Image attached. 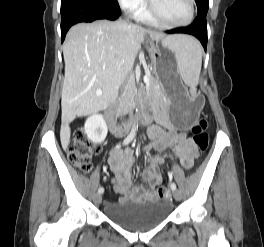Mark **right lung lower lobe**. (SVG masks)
Masks as SVG:
<instances>
[{"mask_svg": "<svg viewBox=\"0 0 264 247\" xmlns=\"http://www.w3.org/2000/svg\"><path fill=\"white\" fill-rule=\"evenodd\" d=\"M120 15L117 0H61V39L69 28L80 22L116 20Z\"/></svg>", "mask_w": 264, "mask_h": 247, "instance_id": "98d812e1", "label": "right lung lower lobe"}]
</instances>
